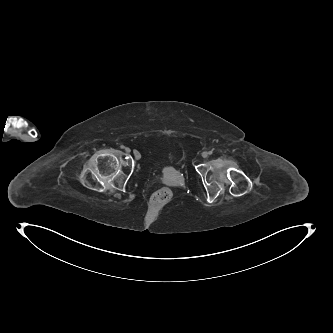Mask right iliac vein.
Masks as SVG:
<instances>
[{
  "mask_svg": "<svg viewBox=\"0 0 333 333\" xmlns=\"http://www.w3.org/2000/svg\"><path fill=\"white\" fill-rule=\"evenodd\" d=\"M125 151L127 153H130L131 150H130V148L127 147V148H125ZM134 156H135L136 159H139L141 157L140 153L136 150L134 151Z\"/></svg>",
  "mask_w": 333,
  "mask_h": 333,
  "instance_id": "obj_1",
  "label": "right iliac vein"
}]
</instances>
